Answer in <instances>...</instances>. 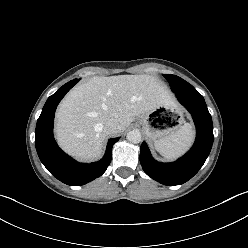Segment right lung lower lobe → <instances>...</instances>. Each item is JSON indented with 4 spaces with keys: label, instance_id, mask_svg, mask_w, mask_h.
I'll use <instances>...</instances> for the list:
<instances>
[{
    "label": "right lung lower lobe",
    "instance_id": "obj_1",
    "mask_svg": "<svg viewBox=\"0 0 248 248\" xmlns=\"http://www.w3.org/2000/svg\"><path fill=\"white\" fill-rule=\"evenodd\" d=\"M78 81V79L71 80L48 98L35 129V146L41 162L55 178L72 186L84 185L100 177L111 162L113 145L119 140V138L110 139L104 157L90 164L75 161L58 147L53 137L55 110L64 95Z\"/></svg>",
    "mask_w": 248,
    "mask_h": 248
}]
</instances>
